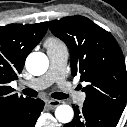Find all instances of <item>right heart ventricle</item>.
<instances>
[{
  "label": "right heart ventricle",
  "mask_w": 127,
  "mask_h": 127,
  "mask_svg": "<svg viewBox=\"0 0 127 127\" xmlns=\"http://www.w3.org/2000/svg\"><path fill=\"white\" fill-rule=\"evenodd\" d=\"M45 45L47 48L60 47L63 46L62 43L53 37H50L46 40Z\"/></svg>",
  "instance_id": "obj_1"
}]
</instances>
